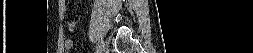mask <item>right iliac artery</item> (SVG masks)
Instances as JSON below:
<instances>
[{
    "mask_svg": "<svg viewBox=\"0 0 253 53\" xmlns=\"http://www.w3.org/2000/svg\"><path fill=\"white\" fill-rule=\"evenodd\" d=\"M98 49H99V46H96V52H95V53H97V52H98Z\"/></svg>",
    "mask_w": 253,
    "mask_h": 53,
    "instance_id": "1",
    "label": "right iliac artery"
}]
</instances>
